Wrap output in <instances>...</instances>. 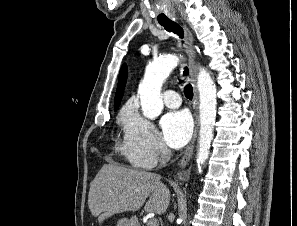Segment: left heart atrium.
<instances>
[{
    "label": "left heart atrium",
    "instance_id": "obj_1",
    "mask_svg": "<svg viewBox=\"0 0 297 226\" xmlns=\"http://www.w3.org/2000/svg\"><path fill=\"white\" fill-rule=\"evenodd\" d=\"M165 142L172 148L183 147L190 139L193 125L185 111H174L164 115L160 121Z\"/></svg>",
    "mask_w": 297,
    "mask_h": 226
}]
</instances>
